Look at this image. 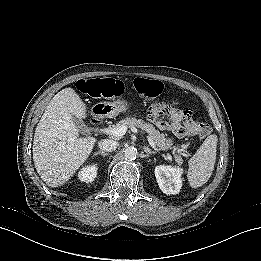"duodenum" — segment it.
I'll return each mask as SVG.
<instances>
[{
  "mask_svg": "<svg viewBox=\"0 0 261 261\" xmlns=\"http://www.w3.org/2000/svg\"><path fill=\"white\" fill-rule=\"evenodd\" d=\"M107 112L103 110H94L92 113L91 124L99 125L106 118Z\"/></svg>",
  "mask_w": 261,
  "mask_h": 261,
  "instance_id": "duodenum-1",
  "label": "duodenum"
}]
</instances>
